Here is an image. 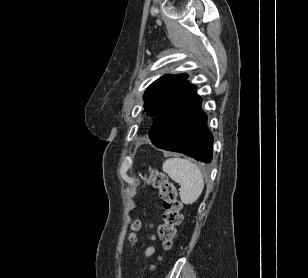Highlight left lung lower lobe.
<instances>
[{
    "mask_svg": "<svg viewBox=\"0 0 308 278\" xmlns=\"http://www.w3.org/2000/svg\"><path fill=\"white\" fill-rule=\"evenodd\" d=\"M195 90L188 83L180 88L156 115L149 138L158 148L208 163L212 160L213 136Z\"/></svg>",
    "mask_w": 308,
    "mask_h": 278,
    "instance_id": "obj_1",
    "label": "left lung lower lobe"
}]
</instances>
